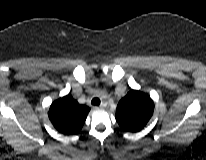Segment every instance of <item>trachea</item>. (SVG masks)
I'll return each mask as SVG.
<instances>
[{"label": "trachea", "instance_id": "trachea-1", "mask_svg": "<svg viewBox=\"0 0 206 160\" xmlns=\"http://www.w3.org/2000/svg\"><path fill=\"white\" fill-rule=\"evenodd\" d=\"M100 102H101L100 99L98 97H95L92 99L91 104L98 106L100 105Z\"/></svg>", "mask_w": 206, "mask_h": 160}]
</instances>
